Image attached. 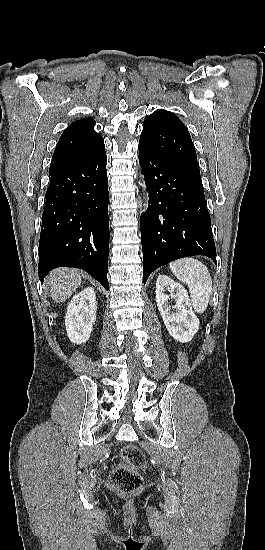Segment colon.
<instances>
[{
    "instance_id": "colon-1",
    "label": "colon",
    "mask_w": 265,
    "mask_h": 550,
    "mask_svg": "<svg viewBox=\"0 0 265 550\" xmlns=\"http://www.w3.org/2000/svg\"><path fill=\"white\" fill-rule=\"evenodd\" d=\"M120 458L109 475V486L119 493L139 490L143 484L140 470L146 462L143 452L134 445H126L121 449Z\"/></svg>"
}]
</instances>
